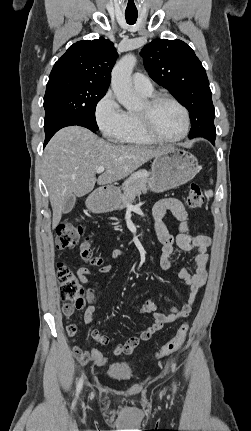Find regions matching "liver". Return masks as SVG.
<instances>
[{
    "label": "liver",
    "instance_id": "obj_1",
    "mask_svg": "<svg viewBox=\"0 0 251 431\" xmlns=\"http://www.w3.org/2000/svg\"><path fill=\"white\" fill-rule=\"evenodd\" d=\"M166 149L116 145L80 126L58 131L47 144L42 159V175L53 211L52 228L59 224L68 196H85L96 182L108 185L121 180ZM98 167L105 171L96 179Z\"/></svg>",
    "mask_w": 251,
    "mask_h": 431
}]
</instances>
